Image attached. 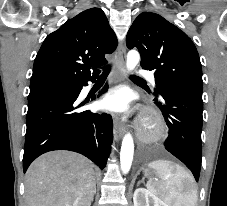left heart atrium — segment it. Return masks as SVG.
Masks as SVG:
<instances>
[{
    "label": "left heart atrium",
    "mask_w": 227,
    "mask_h": 206,
    "mask_svg": "<svg viewBox=\"0 0 227 206\" xmlns=\"http://www.w3.org/2000/svg\"><path fill=\"white\" fill-rule=\"evenodd\" d=\"M102 106L113 112L129 113L131 109L129 94L123 88H115L103 97Z\"/></svg>",
    "instance_id": "left-heart-atrium-1"
}]
</instances>
